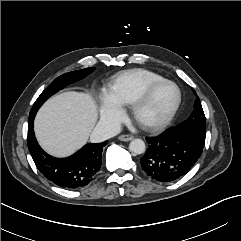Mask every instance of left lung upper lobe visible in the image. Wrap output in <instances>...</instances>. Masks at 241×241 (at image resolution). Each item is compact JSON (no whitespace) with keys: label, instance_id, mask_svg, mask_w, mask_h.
Wrapping results in <instances>:
<instances>
[{"label":"left lung upper lobe","instance_id":"5c2ea615","mask_svg":"<svg viewBox=\"0 0 241 241\" xmlns=\"http://www.w3.org/2000/svg\"><path fill=\"white\" fill-rule=\"evenodd\" d=\"M175 128L189 132L200 145L204 146L206 137V118L198 97L195 100L194 111L190 117Z\"/></svg>","mask_w":241,"mask_h":241}]
</instances>
